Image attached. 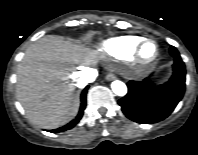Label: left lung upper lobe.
Segmentation results:
<instances>
[{
  "mask_svg": "<svg viewBox=\"0 0 198 155\" xmlns=\"http://www.w3.org/2000/svg\"><path fill=\"white\" fill-rule=\"evenodd\" d=\"M170 52H171V55L173 57H175V58L179 57V54H178L177 50L174 47H171Z\"/></svg>",
  "mask_w": 198,
  "mask_h": 155,
  "instance_id": "obj_1",
  "label": "left lung upper lobe"
}]
</instances>
